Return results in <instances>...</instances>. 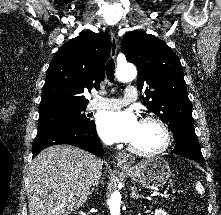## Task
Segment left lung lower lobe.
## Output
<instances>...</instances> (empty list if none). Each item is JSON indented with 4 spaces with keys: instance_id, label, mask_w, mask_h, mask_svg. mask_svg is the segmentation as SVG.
<instances>
[{
    "instance_id": "left-lung-lower-lobe-1",
    "label": "left lung lower lobe",
    "mask_w": 221,
    "mask_h": 215,
    "mask_svg": "<svg viewBox=\"0 0 221 215\" xmlns=\"http://www.w3.org/2000/svg\"><path fill=\"white\" fill-rule=\"evenodd\" d=\"M172 154L180 155L190 160H195L199 163L204 162V157L201 152L199 141L192 137H183L176 141V146Z\"/></svg>"
}]
</instances>
